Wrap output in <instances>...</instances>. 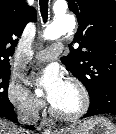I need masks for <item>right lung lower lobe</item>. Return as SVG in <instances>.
I'll use <instances>...</instances> for the list:
<instances>
[{"instance_id":"98d812e1","label":"right lung lower lobe","mask_w":116,"mask_h":134,"mask_svg":"<svg viewBox=\"0 0 116 134\" xmlns=\"http://www.w3.org/2000/svg\"><path fill=\"white\" fill-rule=\"evenodd\" d=\"M0 117H5L9 120L16 121L17 117L14 111V107L8 108L4 112H1ZM27 128L32 129V130L34 129L32 126H27Z\"/></svg>"}]
</instances>
